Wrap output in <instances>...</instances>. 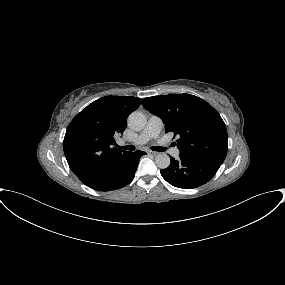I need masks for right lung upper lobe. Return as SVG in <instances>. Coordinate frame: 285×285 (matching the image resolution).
I'll use <instances>...</instances> for the list:
<instances>
[{"instance_id": "cb5924a9", "label": "right lung upper lobe", "mask_w": 285, "mask_h": 285, "mask_svg": "<svg viewBox=\"0 0 285 285\" xmlns=\"http://www.w3.org/2000/svg\"><path fill=\"white\" fill-rule=\"evenodd\" d=\"M140 104L141 99L133 96H106L71 121L63 149L70 169L82 182L109 170L130 153L112 145L125 130L128 115Z\"/></svg>"}]
</instances>
